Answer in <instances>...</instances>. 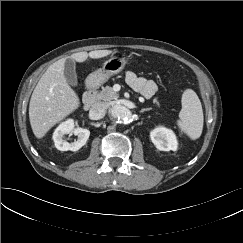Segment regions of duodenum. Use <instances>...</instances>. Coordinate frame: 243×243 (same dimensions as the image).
Returning <instances> with one entry per match:
<instances>
[{"mask_svg": "<svg viewBox=\"0 0 243 243\" xmlns=\"http://www.w3.org/2000/svg\"><path fill=\"white\" fill-rule=\"evenodd\" d=\"M97 100V88L95 86H89L83 96V108L89 110Z\"/></svg>", "mask_w": 243, "mask_h": 243, "instance_id": "obj_1", "label": "duodenum"}]
</instances>
